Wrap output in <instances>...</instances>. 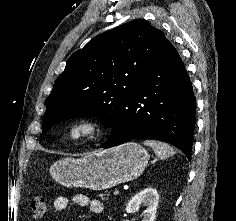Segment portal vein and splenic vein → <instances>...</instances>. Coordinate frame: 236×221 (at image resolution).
Returning a JSON list of instances; mask_svg holds the SVG:
<instances>
[{
  "label": "portal vein and splenic vein",
  "instance_id": "18ae733b",
  "mask_svg": "<svg viewBox=\"0 0 236 221\" xmlns=\"http://www.w3.org/2000/svg\"><path fill=\"white\" fill-rule=\"evenodd\" d=\"M114 195H118L119 194V190L118 189H115L114 192H113Z\"/></svg>",
  "mask_w": 236,
  "mask_h": 221
}]
</instances>
